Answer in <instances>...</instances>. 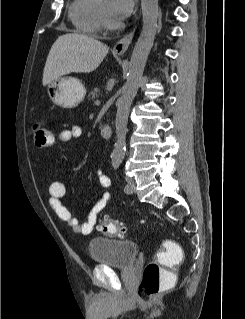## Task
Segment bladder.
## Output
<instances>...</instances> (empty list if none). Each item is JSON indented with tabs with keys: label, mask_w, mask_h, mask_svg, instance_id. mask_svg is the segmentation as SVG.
Returning <instances> with one entry per match:
<instances>
[{
	"label": "bladder",
	"mask_w": 245,
	"mask_h": 319,
	"mask_svg": "<svg viewBox=\"0 0 245 319\" xmlns=\"http://www.w3.org/2000/svg\"><path fill=\"white\" fill-rule=\"evenodd\" d=\"M89 255L96 264L120 268L131 267L138 253V245L132 241L95 238L89 242Z\"/></svg>",
	"instance_id": "obj_1"
}]
</instances>
